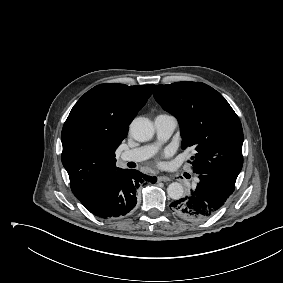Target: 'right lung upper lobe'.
<instances>
[{"label":"right lung upper lobe","mask_w":283,"mask_h":283,"mask_svg":"<svg viewBox=\"0 0 283 283\" xmlns=\"http://www.w3.org/2000/svg\"><path fill=\"white\" fill-rule=\"evenodd\" d=\"M153 86L101 84L74 105L62 129L61 159L76 198L92 193L121 170L114 153Z\"/></svg>","instance_id":"1"}]
</instances>
